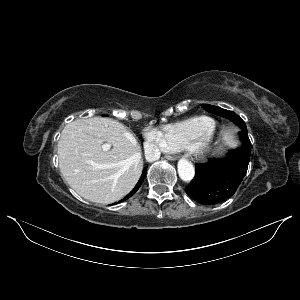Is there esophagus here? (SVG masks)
Listing matches in <instances>:
<instances>
[{"instance_id": "1", "label": "esophagus", "mask_w": 300, "mask_h": 300, "mask_svg": "<svg viewBox=\"0 0 300 300\" xmlns=\"http://www.w3.org/2000/svg\"><path fill=\"white\" fill-rule=\"evenodd\" d=\"M167 159H169V160H176L177 159V157L176 156H167Z\"/></svg>"}]
</instances>
